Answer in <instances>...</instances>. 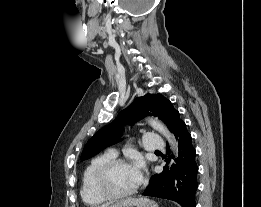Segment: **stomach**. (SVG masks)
<instances>
[{
    "label": "stomach",
    "mask_w": 261,
    "mask_h": 207,
    "mask_svg": "<svg viewBox=\"0 0 261 207\" xmlns=\"http://www.w3.org/2000/svg\"><path fill=\"white\" fill-rule=\"evenodd\" d=\"M109 207H158V205L156 204V202L146 197H129L116 201L110 204Z\"/></svg>",
    "instance_id": "1"
}]
</instances>
